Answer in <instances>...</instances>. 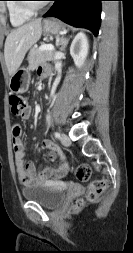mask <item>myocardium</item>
I'll use <instances>...</instances> for the list:
<instances>
[{"label":"myocardium","instance_id":"1","mask_svg":"<svg viewBox=\"0 0 133 253\" xmlns=\"http://www.w3.org/2000/svg\"><path fill=\"white\" fill-rule=\"evenodd\" d=\"M23 1H25V2L20 3L21 7L25 11L33 13V14L38 12L39 10H41L45 6L44 3L35 4V3L26 2L28 0H23Z\"/></svg>","mask_w":133,"mask_h":253}]
</instances>
